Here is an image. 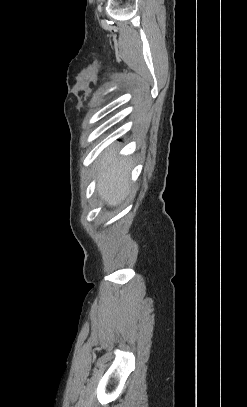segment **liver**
<instances>
[{
  "instance_id": "1",
  "label": "liver",
  "mask_w": 247,
  "mask_h": 407,
  "mask_svg": "<svg viewBox=\"0 0 247 407\" xmlns=\"http://www.w3.org/2000/svg\"><path fill=\"white\" fill-rule=\"evenodd\" d=\"M114 148L106 150L97 162L99 182L97 191L101 199L110 206L120 204L130 191V163L116 159Z\"/></svg>"
}]
</instances>
